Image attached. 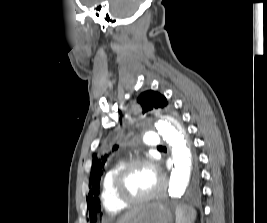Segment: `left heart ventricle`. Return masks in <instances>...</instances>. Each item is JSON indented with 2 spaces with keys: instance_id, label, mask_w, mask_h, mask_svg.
<instances>
[{
  "instance_id": "b2bd125f",
  "label": "left heart ventricle",
  "mask_w": 267,
  "mask_h": 223,
  "mask_svg": "<svg viewBox=\"0 0 267 223\" xmlns=\"http://www.w3.org/2000/svg\"><path fill=\"white\" fill-rule=\"evenodd\" d=\"M158 184V177L147 166H137L124 181L123 189L128 197H141L152 192Z\"/></svg>"
}]
</instances>
